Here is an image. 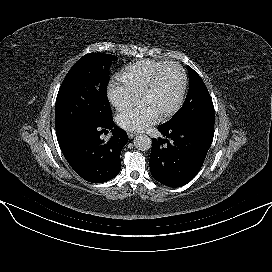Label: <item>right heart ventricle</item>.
<instances>
[{
	"instance_id": "e07e8e85",
	"label": "right heart ventricle",
	"mask_w": 272,
	"mask_h": 272,
	"mask_svg": "<svg viewBox=\"0 0 272 272\" xmlns=\"http://www.w3.org/2000/svg\"><path fill=\"white\" fill-rule=\"evenodd\" d=\"M168 62L142 59L125 67L120 75L121 82L136 94L150 81L153 75Z\"/></svg>"
}]
</instances>
